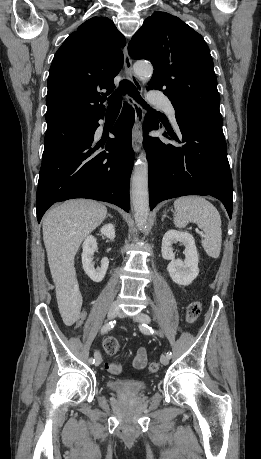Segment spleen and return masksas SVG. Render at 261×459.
I'll list each match as a JSON object with an SVG mask.
<instances>
[{
	"instance_id": "spleen-1",
	"label": "spleen",
	"mask_w": 261,
	"mask_h": 459,
	"mask_svg": "<svg viewBox=\"0 0 261 459\" xmlns=\"http://www.w3.org/2000/svg\"><path fill=\"white\" fill-rule=\"evenodd\" d=\"M173 223L185 228L189 222L196 223L204 231L202 246L206 254L217 259L221 251V217L215 206L201 196H183L174 201Z\"/></svg>"
}]
</instances>
